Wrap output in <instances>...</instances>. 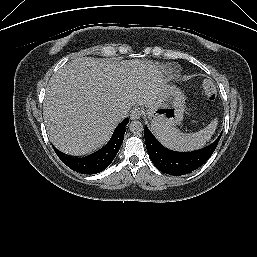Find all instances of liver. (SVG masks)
I'll list each match as a JSON object with an SVG mask.
<instances>
[{
	"instance_id": "liver-1",
	"label": "liver",
	"mask_w": 257,
	"mask_h": 257,
	"mask_svg": "<svg viewBox=\"0 0 257 257\" xmlns=\"http://www.w3.org/2000/svg\"><path fill=\"white\" fill-rule=\"evenodd\" d=\"M164 85V71L148 60L74 59L46 88L43 114L49 139L65 154H88L110 139L121 121L120 110L152 106Z\"/></svg>"
}]
</instances>
